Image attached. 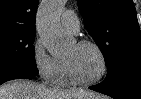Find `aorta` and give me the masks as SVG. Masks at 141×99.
Here are the masks:
<instances>
[{
  "mask_svg": "<svg viewBox=\"0 0 141 99\" xmlns=\"http://www.w3.org/2000/svg\"><path fill=\"white\" fill-rule=\"evenodd\" d=\"M63 6L64 0H45L37 14V32L51 55L63 54L71 45V38L63 34L60 26Z\"/></svg>",
  "mask_w": 141,
  "mask_h": 99,
  "instance_id": "obj_1",
  "label": "aorta"
}]
</instances>
